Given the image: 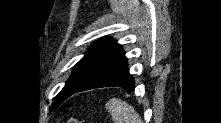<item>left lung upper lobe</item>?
Here are the masks:
<instances>
[{"instance_id": "1", "label": "left lung upper lobe", "mask_w": 221, "mask_h": 123, "mask_svg": "<svg viewBox=\"0 0 221 123\" xmlns=\"http://www.w3.org/2000/svg\"><path fill=\"white\" fill-rule=\"evenodd\" d=\"M123 54L121 45L111 38H102L95 42L74 66L73 74L55 99L53 108H56L87 80Z\"/></svg>"}]
</instances>
